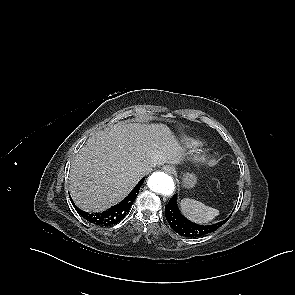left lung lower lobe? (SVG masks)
<instances>
[{"mask_svg": "<svg viewBox=\"0 0 295 295\" xmlns=\"http://www.w3.org/2000/svg\"><path fill=\"white\" fill-rule=\"evenodd\" d=\"M166 219L171 228L181 236L195 238L206 235L208 233L216 231L221 227L229 218L221 222L212 225H198L188 219H186L179 211L176 197L170 199L168 204L165 206Z\"/></svg>", "mask_w": 295, "mask_h": 295, "instance_id": "left-lung-lower-lobe-1", "label": "left lung lower lobe"}]
</instances>
